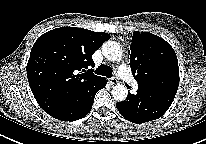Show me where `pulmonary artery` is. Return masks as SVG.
<instances>
[{
    "label": "pulmonary artery",
    "instance_id": "1",
    "mask_svg": "<svg viewBox=\"0 0 206 144\" xmlns=\"http://www.w3.org/2000/svg\"><path fill=\"white\" fill-rule=\"evenodd\" d=\"M119 75L126 81H129V82H132L133 86L135 89H137V84L132 80L130 74H129V70L128 68L126 67L125 64H122L120 67H119Z\"/></svg>",
    "mask_w": 206,
    "mask_h": 144
}]
</instances>
